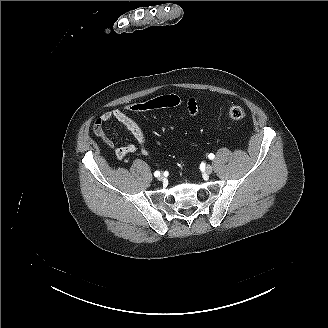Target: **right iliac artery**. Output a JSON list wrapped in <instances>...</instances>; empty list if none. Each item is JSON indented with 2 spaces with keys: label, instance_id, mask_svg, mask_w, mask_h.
Masks as SVG:
<instances>
[{
  "label": "right iliac artery",
  "instance_id": "82829eb1",
  "mask_svg": "<svg viewBox=\"0 0 328 328\" xmlns=\"http://www.w3.org/2000/svg\"><path fill=\"white\" fill-rule=\"evenodd\" d=\"M160 175V172L159 171H156L155 173H154V176L155 177H158Z\"/></svg>",
  "mask_w": 328,
  "mask_h": 328
}]
</instances>
